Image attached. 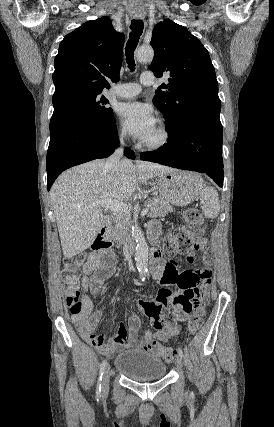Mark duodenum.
<instances>
[{"label":"duodenum","instance_id":"obj_1","mask_svg":"<svg viewBox=\"0 0 274 427\" xmlns=\"http://www.w3.org/2000/svg\"><path fill=\"white\" fill-rule=\"evenodd\" d=\"M108 223H109V218L106 219L105 224L99 230L97 238L94 242V247L96 249H102L104 247H108L111 245V241L107 236ZM122 251L125 255H132L135 252V246L133 244H125L122 247ZM149 254L152 262L158 260L161 255V250L155 240L152 243Z\"/></svg>","mask_w":274,"mask_h":427}]
</instances>
